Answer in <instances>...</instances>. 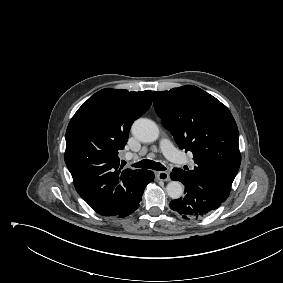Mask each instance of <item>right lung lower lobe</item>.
<instances>
[{
	"instance_id": "1",
	"label": "right lung lower lobe",
	"mask_w": 283,
	"mask_h": 283,
	"mask_svg": "<svg viewBox=\"0 0 283 283\" xmlns=\"http://www.w3.org/2000/svg\"><path fill=\"white\" fill-rule=\"evenodd\" d=\"M153 180H154V173L152 171L144 170L143 172H141V179H140L141 192H140V195L132 203H130L127 207H125L118 214L113 215V216L126 217L129 214L133 213L139 207L140 198L143 195V191H144L145 186Z\"/></svg>"
}]
</instances>
